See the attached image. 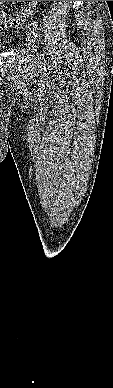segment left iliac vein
<instances>
[{"label":"left iliac vein","mask_w":113,"mask_h":388,"mask_svg":"<svg viewBox=\"0 0 113 388\" xmlns=\"http://www.w3.org/2000/svg\"><path fill=\"white\" fill-rule=\"evenodd\" d=\"M26 39H27V43H28V47H29L30 52L32 54H35V52H36V45H35L34 37L31 34H28Z\"/></svg>","instance_id":"left-iliac-vein-1"}]
</instances>
